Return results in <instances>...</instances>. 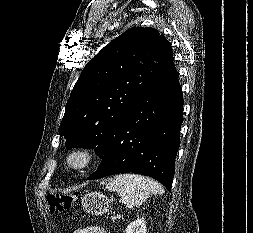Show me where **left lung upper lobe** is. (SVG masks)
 Masks as SVG:
<instances>
[{
    "label": "left lung upper lobe",
    "instance_id": "left-lung-upper-lobe-1",
    "mask_svg": "<svg viewBox=\"0 0 253 233\" xmlns=\"http://www.w3.org/2000/svg\"><path fill=\"white\" fill-rule=\"evenodd\" d=\"M170 43L150 27H132L84 67L67 101L59 133L66 148L102 157L140 97L173 60Z\"/></svg>",
    "mask_w": 253,
    "mask_h": 233
}]
</instances>
